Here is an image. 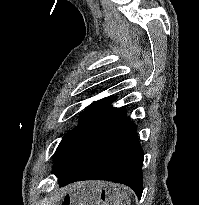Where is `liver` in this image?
<instances>
[{
	"mask_svg": "<svg viewBox=\"0 0 199 205\" xmlns=\"http://www.w3.org/2000/svg\"><path fill=\"white\" fill-rule=\"evenodd\" d=\"M113 189L115 190V200L116 204L118 205H125L124 200H127V197L125 196V193L123 191H120L117 186H113ZM86 202L89 205H97L99 203L94 196H88L87 198H83L81 203L79 205H86Z\"/></svg>",
	"mask_w": 199,
	"mask_h": 205,
	"instance_id": "obj_1",
	"label": "liver"
}]
</instances>
